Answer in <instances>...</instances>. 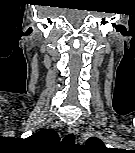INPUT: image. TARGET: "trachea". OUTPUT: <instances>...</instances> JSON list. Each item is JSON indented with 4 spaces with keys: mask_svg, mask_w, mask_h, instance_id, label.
<instances>
[{
    "mask_svg": "<svg viewBox=\"0 0 135 153\" xmlns=\"http://www.w3.org/2000/svg\"><path fill=\"white\" fill-rule=\"evenodd\" d=\"M63 143L68 145L74 144L75 136L73 134L66 135L63 139Z\"/></svg>",
    "mask_w": 135,
    "mask_h": 153,
    "instance_id": "1",
    "label": "trachea"
}]
</instances>
